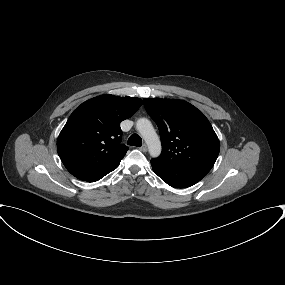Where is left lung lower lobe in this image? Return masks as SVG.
<instances>
[{"label": "left lung lower lobe", "instance_id": "0a47b994", "mask_svg": "<svg viewBox=\"0 0 285 285\" xmlns=\"http://www.w3.org/2000/svg\"><path fill=\"white\" fill-rule=\"evenodd\" d=\"M153 171L168 185L186 188L200 181L206 174L182 166H172L162 160L152 159Z\"/></svg>", "mask_w": 285, "mask_h": 285}]
</instances>
